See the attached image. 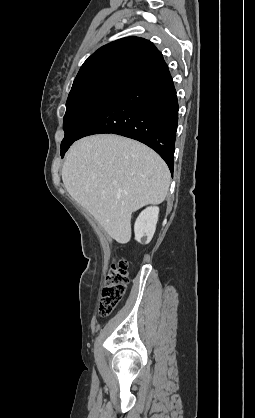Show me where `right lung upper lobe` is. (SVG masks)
<instances>
[{
	"mask_svg": "<svg viewBox=\"0 0 255 418\" xmlns=\"http://www.w3.org/2000/svg\"><path fill=\"white\" fill-rule=\"evenodd\" d=\"M168 69L154 44L140 37H126L99 48L81 66L72 89L105 81L128 86Z\"/></svg>",
	"mask_w": 255,
	"mask_h": 418,
	"instance_id": "obj_1",
	"label": "right lung upper lobe"
}]
</instances>
